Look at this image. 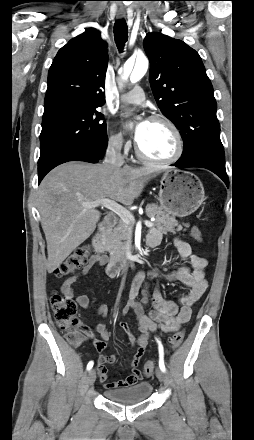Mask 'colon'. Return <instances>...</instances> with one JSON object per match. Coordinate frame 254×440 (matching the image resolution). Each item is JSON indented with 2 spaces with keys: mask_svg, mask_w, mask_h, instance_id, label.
I'll return each mask as SVG.
<instances>
[{
  "mask_svg": "<svg viewBox=\"0 0 254 440\" xmlns=\"http://www.w3.org/2000/svg\"><path fill=\"white\" fill-rule=\"evenodd\" d=\"M190 234L197 242L203 241V234L198 227H193ZM90 249L88 246H81L72 252L61 264H59L54 273L57 276H66L81 268L88 260ZM54 320L59 329L66 331L67 340L73 344H80L86 334V329L77 319V305L63 293L53 292L50 299ZM184 339V331H177L170 339V348L177 349ZM155 369L153 361H147L143 371L147 376H151Z\"/></svg>",
  "mask_w": 254,
  "mask_h": 440,
  "instance_id": "5ec220e1",
  "label": "colon"
}]
</instances>
